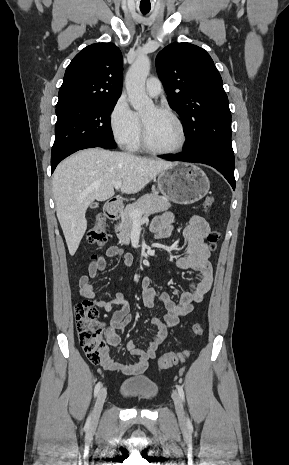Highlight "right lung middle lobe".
I'll return each mask as SVG.
<instances>
[{"label":"right lung middle lobe","mask_w":289,"mask_h":465,"mask_svg":"<svg viewBox=\"0 0 289 465\" xmlns=\"http://www.w3.org/2000/svg\"><path fill=\"white\" fill-rule=\"evenodd\" d=\"M117 100L56 107L57 122L51 163L63 160L88 144L116 148L109 117Z\"/></svg>","instance_id":"dd1d6c3e"}]
</instances>
